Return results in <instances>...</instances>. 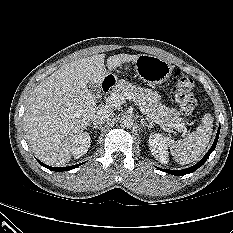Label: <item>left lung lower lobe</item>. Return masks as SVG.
Instances as JSON below:
<instances>
[{
  "label": "left lung lower lobe",
  "mask_w": 233,
  "mask_h": 233,
  "mask_svg": "<svg viewBox=\"0 0 233 233\" xmlns=\"http://www.w3.org/2000/svg\"><path fill=\"white\" fill-rule=\"evenodd\" d=\"M219 133H220V126H219V129H218V132H217V135H216V138L214 140L212 147L209 149L206 155L194 166L189 167L187 169H183V170H166V169H160V170L166 173L172 174V175H176V176H182V175L194 172L195 170H197L199 167H201L205 163V161L208 159L211 152L215 149L218 138H219Z\"/></svg>",
  "instance_id": "left-lung-lower-lobe-1"
}]
</instances>
